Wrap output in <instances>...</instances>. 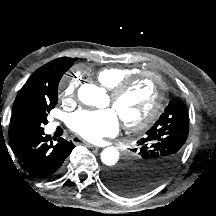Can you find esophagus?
Segmentation results:
<instances>
[{
  "label": "esophagus",
  "instance_id": "obj_1",
  "mask_svg": "<svg viewBox=\"0 0 216 216\" xmlns=\"http://www.w3.org/2000/svg\"><path fill=\"white\" fill-rule=\"evenodd\" d=\"M72 141H73V143H75V144H82V145H85V146L90 147V148H98L97 146H95V145H93V144H91V143L85 141L84 139H82V138L79 137V136H74V137L72 138Z\"/></svg>",
  "mask_w": 216,
  "mask_h": 216
}]
</instances>
